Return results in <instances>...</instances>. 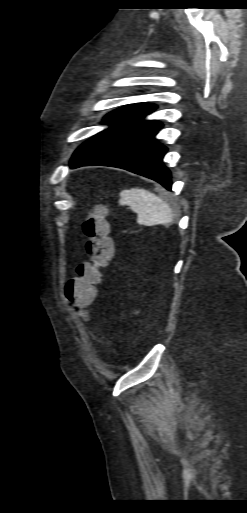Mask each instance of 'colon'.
Here are the masks:
<instances>
[{
  "mask_svg": "<svg viewBox=\"0 0 247 513\" xmlns=\"http://www.w3.org/2000/svg\"><path fill=\"white\" fill-rule=\"evenodd\" d=\"M86 238L85 249L89 260L79 264L64 286L66 301L77 310L90 303L102 283V269L112 256V242L107 212L99 208L82 224Z\"/></svg>",
  "mask_w": 247,
  "mask_h": 513,
  "instance_id": "1",
  "label": "colon"
}]
</instances>
